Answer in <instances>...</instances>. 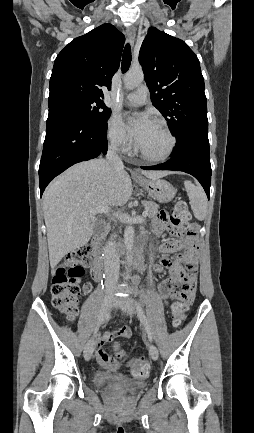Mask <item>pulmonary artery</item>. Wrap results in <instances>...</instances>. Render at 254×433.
I'll list each match as a JSON object with an SVG mask.
<instances>
[{
    "label": "pulmonary artery",
    "mask_w": 254,
    "mask_h": 433,
    "mask_svg": "<svg viewBox=\"0 0 254 433\" xmlns=\"http://www.w3.org/2000/svg\"><path fill=\"white\" fill-rule=\"evenodd\" d=\"M148 96V88L140 86L136 91L125 96V101L129 105L139 106L146 102Z\"/></svg>",
    "instance_id": "1"
}]
</instances>
